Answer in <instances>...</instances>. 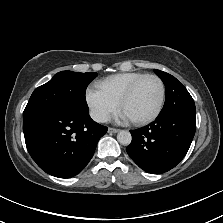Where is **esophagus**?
<instances>
[{
    "label": "esophagus",
    "mask_w": 223,
    "mask_h": 223,
    "mask_svg": "<svg viewBox=\"0 0 223 223\" xmlns=\"http://www.w3.org/2000/svg\"><path fill=\"white\" fill-rule=\"evenodd\" d=\"M120 130L119 129H116V128H111V127H109L108 128V132L109 133H117V132H119Z\"/></svg>",
    "instance_id": "esophagus-1"
}]
</instances>
